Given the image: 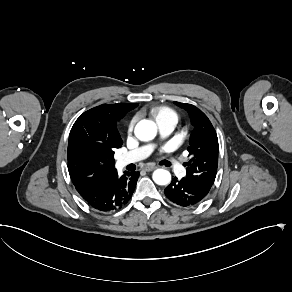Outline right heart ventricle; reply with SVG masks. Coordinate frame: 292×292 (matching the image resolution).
<instances>
[{
	"label": "right heart ventricle",
	"instance_id": "obj_1",
	"mask_svg": "<svg viewBox=\"0 0 292 292\" xmlns=\"http://www.w3.org/2000/svg\"><path fill=\"white\" fill-rule=\"evenodd\" d=\"M150 113L158 121L161 115H168L169 117L178 118L177 114L166 106H155L151 108Z\"/></svg>",
	"mask_w": 292,
	"mask_h": 292
}]
</instances>
